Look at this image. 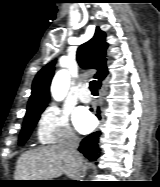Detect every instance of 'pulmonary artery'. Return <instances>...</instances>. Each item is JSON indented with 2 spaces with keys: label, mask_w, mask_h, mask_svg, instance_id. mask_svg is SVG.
Returning <instances> with one entry per match:
<instances>
[{
  "label": "pulmonary artery",
  "mask_w": 160,
  "mask_h": 187,
  "mask_svg": "<svg viewBox=\"0 0 160 187\" xmlns=\"http://www.w3.org/2000/svg\"><path fill=\"white\" fill-rule=\"evenodd\" d=\"M87 87L82 86L81 90L78 93V98L83 103H88L91 100V96L89 93H87Z\"/></svg>",
  "instance_id": "obj_1"
}]
</instances>
